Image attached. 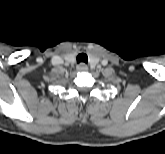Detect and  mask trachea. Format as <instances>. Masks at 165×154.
<instances>
[{"mask_svg": "<svg viewBox=\"0 0 165 154\" xmlns=\"http://www.w3.org/2000/svg\"><path fill=\"white\" fill-rule=\"evenodd\" d=\"M87 61H88V57L85 53H80V54L77 55V62L78 63L82 62V63L86 64Z\"/></svg>", "mask_w": 165, "mask_h": 154, "instance_id": "obj_1", "label": "trachea"}]
</instances>
